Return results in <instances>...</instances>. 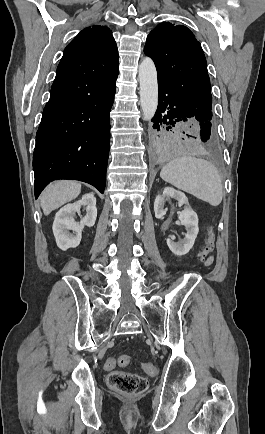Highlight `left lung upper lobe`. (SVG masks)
Returning a JSON list of instances; mask_svg holds the SVG:
<instances>
[{
    "label": "left lung upper lobe",
    "instance_id": "5c2ea615",
    "mask_svg": "<svg viewBox=\"0 0 265 434\" xmlns=\"http://www.w3.org/2000/svg\"><path fill=\"white\" fill-rule=\"evenodd\" d=\"M144 52L153 59L158 80L214 123L206 58L193 33L183 25L162 22L148 35Z\"/></svg>",
    "mask_w": 265,
    "mask_h": 434
}]
</instances>
